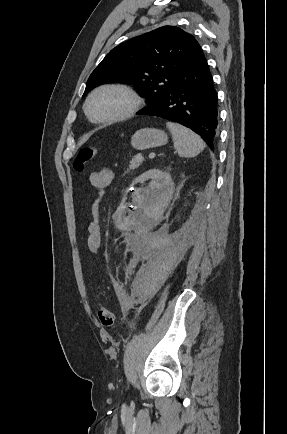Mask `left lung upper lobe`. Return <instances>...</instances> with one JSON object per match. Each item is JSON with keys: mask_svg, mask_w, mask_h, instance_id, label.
<instances>
[{"mask_svg": "<svg viewBox=\"0 0 287 434\" xmlns=\"http://www.w3.org/2000/svg\"><path fill=\"white\" fill-rule=\"evenodd\" d=\"M202 56L191 34L175 26L160 27L112 49L90 75L83 97L98 85L124 82L137 86L150 107Z\"/></svg>", "mask_w": 287, "mask_h": 434, "instance_id": "left-lung-upper-lobe-1", "label": "left lung upper lobe"}]
</instances>
